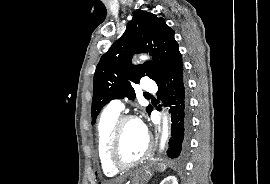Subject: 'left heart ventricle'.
<instances>
[{
	"label": "left heart ventricle",
	"mask_w": 270,
	"mask_h": 184,
	"mask_svg": "<svg viewBox=\"0 0 270 184\" xmlns=\"http://www.w3.org/2000/svg\"><path fill=\"white\" fill-rule=\"evenodd\" d=\"M147 146V135L141 129L140 123L130 121L122 131L119 148V157L122 161L129 162L139 158Z\"/></svg>",
	"instance_id": "left-heart-ventricle-1"
}]
</instances>
